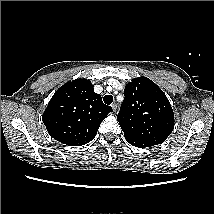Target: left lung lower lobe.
I'll use <instances>...</instances> for the list:
<instances>
[{"label":"left lung lower lobe","instance_id":"0a47b994","mask_svg":"<svg viewBox=\"0 0 214 214\" xmlns=\"http://www.w3.org/2000/svg\"><path fill=\"white\" fill-rule=\"evenodd\" d=\"M130 144H132L133 146L135 147H138V148H145V147H151L152 145H148V144H141V143H136V142H133V141H130V140H127Z\"/></svg>","mask_w":214,"mask_h":214}]
</instances>
